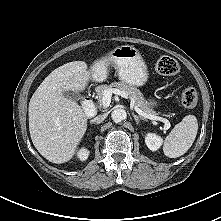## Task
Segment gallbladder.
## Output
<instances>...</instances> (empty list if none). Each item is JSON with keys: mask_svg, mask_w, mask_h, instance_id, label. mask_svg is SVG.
Here are the masks:
<instances>
[{"mask_svg": "<svg viewBox=\"0 0 221 221\" xmlns=\"http://www.w3.org/2000/svg\"><path fill=\"white\" fill-rule=\"evenodd\" d=\"M63 95L68 98L71 99L73 101H79L81 100V96L79 95V93L77 92H73V91H66L63 93Z\"/></svg>", "mask_w": 221, "mask_h": 221, "instance_id": "obj_1", "label": "gallbladder"}]
</instances>
